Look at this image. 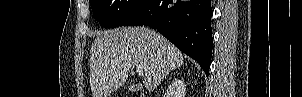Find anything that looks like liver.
I'll return each mask as SVG.
<instances>
[{
  "label": "liver",
  "instance_id": "obj_1",
  "mask_svg": "<svg viewBox=\"0 0 302 97\" xmlns=\"http://www.w3.org/2000/svg\"><path fill=\"white\" fill-rule=\"evenodd\" d=\"M144 66L143 84L153 91L176 68L183 54L162 35L146 27L103 31L90 50V85L93 97H109L122 86L132 67Z\"/></svg>",
  "mask_w": 302,
  "mask_h": 97
}]
</instances>
